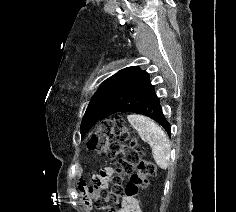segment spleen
I'll return each instance as SVG.
<instances>
[{
	"instance_id": "spleen-1",
	"label": "spleen",
	"mask_w": 236,
	"mask_h": 212,
	"mask_svg": "<svg viewBox=\"0 0 236 212\" xmlns=\"http://www.w3.org/2000/svg\"><path fill=\"white\" fill-rule=\"evenodd\" d=\"M127 118L141 139L152 148L156 164L160 168L166 169L170 161V144L163 129L144 115L131 114Z\"/></svg>"
}]
</instances>
